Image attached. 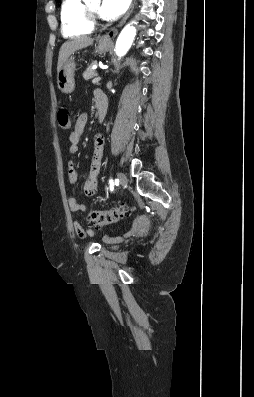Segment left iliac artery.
Segmentation results:
<instances>
[{
  "label": "left iliac artery",
  "instance_id": "1",
  "mask_svg": "<svg viewBox=\"0 0 254 397\" xmlns=\"http://www.w3.org/2000/svg\"><path fill=\"white\" fill-rule=\"evenodd\" d=\"M118 182H119V180L117 179V182H115L116 185H117ZM113 189H114V182H113L112 179H110V190L112 191Z\"/></svg>",
  "mask_w": 254,
  "mask_h": 397
}]
</instances>
